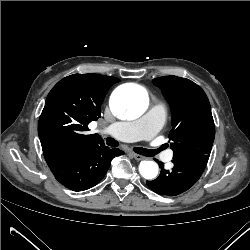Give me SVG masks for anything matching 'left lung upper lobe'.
Returning <instances> with one entry per match:
<instances>
[{
    "label": "left lung upper lobe",
    "instance_id": "5c2ea615",
    "mask_svg": "<svg viewBox=\"0 0 250 250\" xmlns=\"http://www.w3.org/2000/svg\"><path fill=\"white\" fill-rule=\"evenodd\" d=\"M170 104L172 130L170 148L173 158L210 155L215 125L209 100L197 84L177 76L153 80Z\"/></svg>",
    "mask_w": 250,
    "mask_h": 250
}]
</instances>
